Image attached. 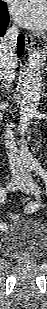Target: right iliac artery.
<instances>
[{"instance_id": "82829eb1", "label": "right iliac artery", "mask_w": 47, "mask_h": 309, "mask_svg": "<svg viewBox=\"0 0 47 309\" xmlns=\"http://www.w3.org/2000/svg\"><path fill=\"white\" fill-rule=\"evenodd\" d=\"M6 196H7V190L5 188L1 189L0 191V202L1 203H4ZM0 228L1 230H4L6 228V225L4 223H1Z\"/></svg>"}]
</instances>
